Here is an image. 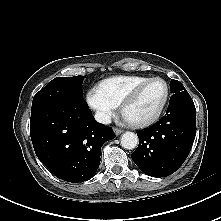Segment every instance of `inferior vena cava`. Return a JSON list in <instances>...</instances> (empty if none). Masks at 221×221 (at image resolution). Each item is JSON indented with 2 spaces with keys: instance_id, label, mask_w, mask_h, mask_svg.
<instances>
[{
  "instance_id": "inferior-vena-cava-1",
  "label": "inferior vena cava",
  "mask_w": 221,
  "mask_h": 221,
  "mask_svg": "<svg viewBox=\"0 0 221 221\" xmlns=\"http://www.w3.org/2000/svg\"><path fill=\"white\" fill-rule=\"evenodd\" d=\"M95 120L101 124H110L111 123V117L109 114L105 112L98 111L95 113Z\"/></svg>"
}]
</instances>
